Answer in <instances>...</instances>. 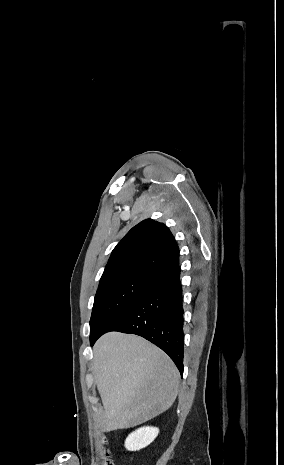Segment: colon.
Instances as JSON below:
<instances>
[{"label":"colon","instance_id":"5ec220e1","mask_svg":"<svg viewBox=\"0 0 284 465\" xmlns=\"http://www.w3.org/2000/svg\"><path fill=\"white\" fill-rule=\"evenodd\" d=\"M102 464H105V465H112L111 462L107 461L106 463H102Z\"/></svg>","mask_w":284,"mask_h":465}]
</instances>
